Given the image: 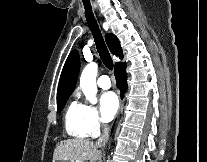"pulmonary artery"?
<instances>
[{
	"instance_id": "obj_1",
	"label": "pulmonary artery",
	"mask_w": 207,
	"mask_h": 162,
	"mask_svg": "<svg viewBox=\"0 0 207 162\" xmlns=\"http://www.w3.org/2000/svg\"><path fill=\"white\" fill-rule=\"evenodd\" d=\"M97 84L102 89H109L111 87V81L107 75H102L98 78Z\"/></svg>"
}]
</instances>
